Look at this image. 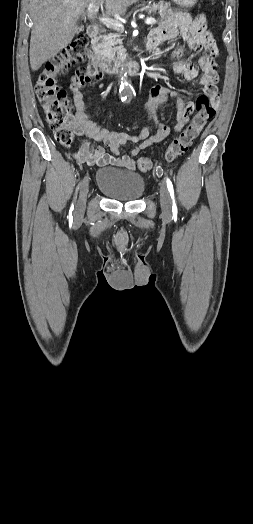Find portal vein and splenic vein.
I'll return each instance as SVG.
<instances>
[{
    "instance_id": "portal-vein-and-splenic-vein-1",
    "label": "portal vein and splenic vein",
    "mask_w": 253,
    "mask_h": 524,
    "mask_svg": "<svg viewBox=\"0 0 253 524\" xmlns=\"http://www.w3.org/2000/svg\"><path fill=\"white\" fill-rule=\"evenodd\" d=\"M99 9V6L96 5L95 3H90L87 7V11L90 15H93L95 14ZM99 20L105 24L106 26H111L115 29H123V25L122 23H120L119 21L113 19V18H110V17H100ZM145 23L147 25H153L156 23V19L153 18V17H148L146 20H145Z\"/></svg>"
}]
</instances>
